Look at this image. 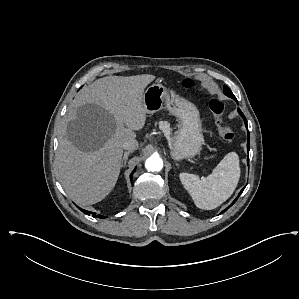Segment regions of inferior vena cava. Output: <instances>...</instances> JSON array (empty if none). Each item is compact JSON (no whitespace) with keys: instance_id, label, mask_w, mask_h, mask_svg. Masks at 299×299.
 Here are the masks:
<instances>
[{"instance_id":"obj_1","label":"inferior vena cava","mask_w":299,"mask_h":299,"mask_svg":"<svg viewBox=\"0 0 299 299\" xmlns=\"http://www.w3.org/2000/svg\"><path fill=\"white\" fill-rule=\"evenodd\" d=\"M138 141L135 138H129L126 139L123 143H122V147L125 150L128 151H134L138 149Z\"/></svg>"}]
</instances>
